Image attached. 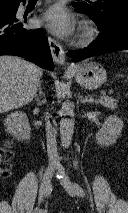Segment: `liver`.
<instances>
[{
	"instance_id": "liver-1",
	"label": "liver",
	"mask_w": 128,
	"mask_h": 213,
	"mask_svg": "<svg viewBox=\"0 0 128 213\" xmlns=\"http://www.w3.org/2000/svg\"><path fill=\"white\" fill-rule=\"evenodd\" d=\"M42 70L13 56H0V113L32 101L40 84Z\"/></svg>"
}]
</instances>
